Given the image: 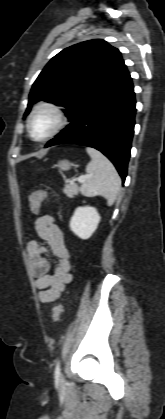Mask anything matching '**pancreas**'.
Listing matches in <instances>:
<instances>
[{
  "label": "pancreas",
  "instance_id": "obj_1",
  "mask_svg": "<svg viewBox=\"0 0 165 419\" xmlns=\"http://www.w3.org/2000/svg\"><path fill=\"white\" fill-rule=\"evenodd\" d=\"M79 188L76 184H66L63 188V193L69 198L78 195Z\"/></svg>",
  "mask_w": 165,
  "mask_h": 419
}]
</instances>
